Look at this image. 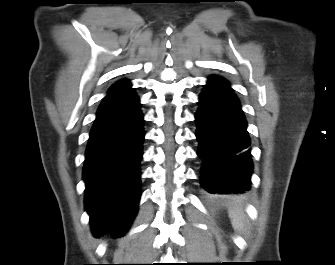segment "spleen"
<instances>
[{
	"instance_id": "1",
	"label": "spleen",
	"mask_w": 335,
	"mask_h": 265,
	"mask_svg": "<svg viewBox=\"0 0 335 265\" xmlns=\"http://www.w3.org/2000/svg\"><path fill=\"white\" fill-rule=\"evenodd\" d=\"M229 216L231 218L232 226L234 230L240 231L243 227V215L240 210H232L229 212Z\"/></svg>"
}]
</instances>
